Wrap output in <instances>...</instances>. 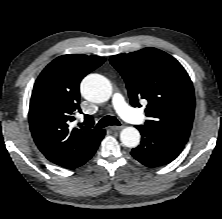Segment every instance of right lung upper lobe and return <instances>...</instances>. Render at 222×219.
Here are the masks:
<instances>
[{
	"mask_svg": "<svg viewBox=\"0 0 222 219\" xmlns=\"http://www.w3.org/2000/svg\"><path fill=\"white\" fill-rule=\"evenodd\" d=\"M104 61L98 56L63 55L48 64L35 82L29 107L30 130L44 156L61 167H72L101 132L88 127L70 130L69 123L80 111L81 80ZM86 117L93 123L91 116Z\"/></svg>",
	"mask_w": 222,
	"mask_h": 219,
	"instance_id": "1",
	"label": "right lung upper lobe"
}]
</instances>
